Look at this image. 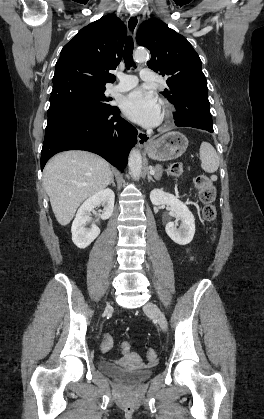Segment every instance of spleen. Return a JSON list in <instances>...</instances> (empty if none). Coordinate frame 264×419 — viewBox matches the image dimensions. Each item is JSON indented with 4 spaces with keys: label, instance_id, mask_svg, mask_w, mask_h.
<instances>
[{
    "label": "spleen",
    "instance_id": "3e777b00",
    "mask_svg": "<svg viewBox=\"0 0 264 419\" xmlns=\"http://www.w3.org/2000/svg\"><path fill=\"white\" fill-rule=\"evenodd\" d=\"M201 168L207 173H214L219 167V157L214 147L208 142H202L200 146Z\"/></svg>",
    "mask_w": 264,
    "mask_h": 419
}]
</instances>
